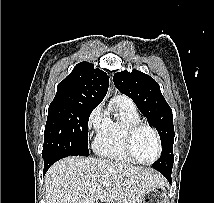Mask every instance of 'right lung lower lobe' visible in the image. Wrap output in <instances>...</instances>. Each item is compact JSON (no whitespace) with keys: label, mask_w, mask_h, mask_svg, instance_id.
<instances>
[{"label":"right lung lower lobe","mask_w":214,"mask_h":203,"mask_svg":"<svg viewBox=\"0 0 214 203\" xmlns=\"http://www.w3.org/2000/svg\"><path fill=\"white\" fill-rule=\"evenodd\" d=\"M56 162V160H44V174L46 173V171L50 168V166Z\"/></svg>","instance_id":"98d812e1"}]
</instances>
